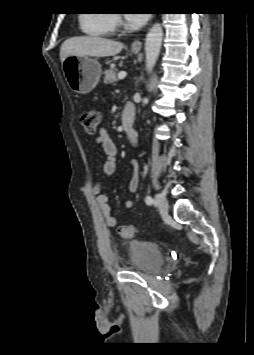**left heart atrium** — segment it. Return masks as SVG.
<instances>
[{
	"label": "left heart atrium",
	"instance_id": "obj_1",
	"mask_svg": "<svg viewBox=\"0 0 254 355\" xmlns=\"http://www.w3.org/2000/svg\"><path fill=\"white\" fill-rule=\"evenodd\" d=\"M128 23L132 26H142L148 19V14L146 13H129L126 15Z\"/></svg>",
	"mask_w": 254,
	"mask_h": 355
}]
</instances>
